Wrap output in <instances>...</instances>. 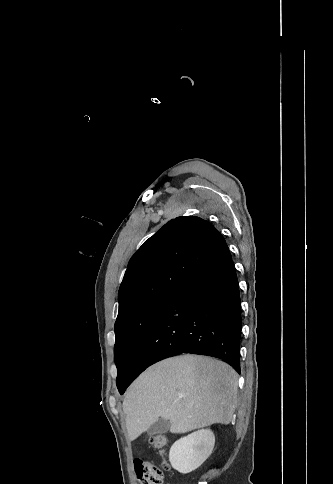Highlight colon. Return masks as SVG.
<instances>
[{"label":"colon","mask_w":333,"mask_h":484,"mask_svg":"<svg viewBox=\"0 0 333 484\" xmlns=\"http://www.w3.org/2000/svg\"><path fill=\"white\" fill-rule=\"evenodd\" d=\"M150 444L164 453L167 446V439L162 434L153 435L149 439ZM163 469H169L168 463L163 464L160 468L150 462L141 461L138 470V479L140 484H164Z\"/></svg>","instance_id":"1"}]
</instances>
